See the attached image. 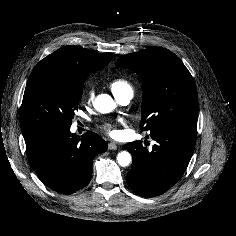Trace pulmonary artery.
Segmentation results:
<instances>
[{"mask_svg": "<svg viewBox=\"0 0 236 236\" xmlns=\"http://www.w3.org/2000/svg\"><path fill=\"white\" fill-rule=\"evenodd\" d=\"M116 97V100L120 103V104H128L130 102V100L132 99L133 97V92L131 91H127V92H124V93H121L119 95H115Z\"/></svg>", "mask_w": 236, "mask_h": 236, "instance_id": "pulmonary-artery-1", "label": "pulmonary artery"}]
</instances>
